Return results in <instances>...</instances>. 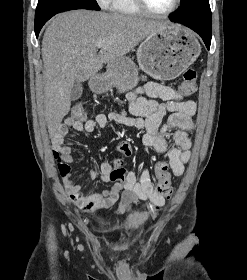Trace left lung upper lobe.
Masks as SVG:
<instances>
[{
    "instance_id": "obj_1",
    "label": "left lung upper lobe",
    "mask_w": 247,
    "mask_h": 280,
    "mask_svg": "<svg viewBox=\"0 0 247 280\" xmlns=\"http://www.w3.org/2000/svg\"><path fill=\"white\" fill-rule=\"evenodd\" d=\"M174 17L184 22L212 25L209 0H183Z\"/></svg>"
}]
</instances>
